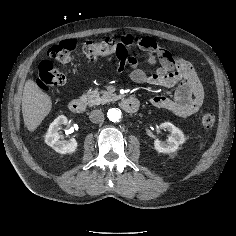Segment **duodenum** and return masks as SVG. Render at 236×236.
Wrapping results in <instances>:
<instances>
[{
    "label": "duodenum",
    "instance_id": "410a0bca",
    "mask_svg": "<svg viewBox=\"0 0 236 236\" xmlns=\"http://www.w3.org/2000/svg\"><path fill=\"white\" fill-rule=\"evenodd\" d=\"M121 108L128 113L138 111L140 103L134 97H125L120 101ZM69 108L73 113H83L87 109V102L84 99L76 98L69 103Z\"/></svg>",
    "mask_w": 236,
    "mask_h": 236
}]
</instances>
